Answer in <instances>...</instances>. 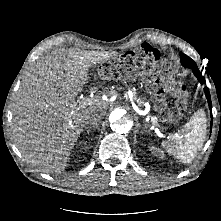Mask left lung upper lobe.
<instances>
[{
  "instance_id": "obj_1",
  "label": "left lung upper lobe",
  "mask_w": 221,
  "mask_h": 221,
  "mask_svg": "<svg viewBox=\"0 0 221 221\" xmlns=\"http://www.w3.org/2000/svg\"><path fill=\"white\" fill-rule=\"evenodd\" d=\"M180 56H181V64L184 67H188V68L197 67L196 63L190 57H188L187 55H185L183 53H180Z\"/></svg>"
}]
</instances>
